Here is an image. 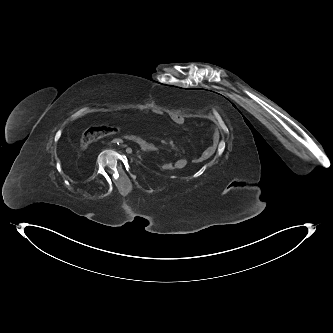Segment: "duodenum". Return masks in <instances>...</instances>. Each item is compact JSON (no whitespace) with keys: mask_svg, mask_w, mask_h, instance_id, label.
<instances>
[{"mask_svg":"<svg viewBox=\"0 0 333 333\" xmlns=\"http://www.w3.org/2000/svg\"><path fill=\"white\" fill-rule=\"evenodd\" d=\"M130 140L136 143L144 152H156L158 150L157 146H155L154 144H151L138 137H132Z\"/></svg>","mask_w":333,"mask_h":333,"instance_id":"410a0bca","label":"duodenum"}]
</instances>
